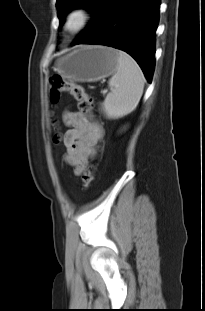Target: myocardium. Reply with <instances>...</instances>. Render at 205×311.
I'll return each mask as SVG.
<instances>
[{
  "mask_svg": "<svg viewBox=\"0 0 205 311\" xmlns=\"http://www.w3.org/2000/svg\"><path fill=\"white\" fill-rule=\"evenodd\" d=\"M75 18L77 22L74 24ZM90 21L91 12L89 9L83 6H75L68 11L65 17L64 29L71 34L80 33L87 28Z\"/></svg>",
  "mask_w": 205,
  "mask_h": 311,
  "instance_id": "1",
  "label": "myocardium"
}]
</instances>
